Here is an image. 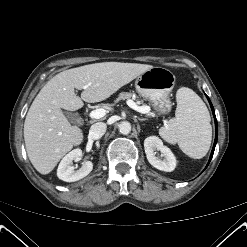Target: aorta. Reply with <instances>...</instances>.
Segmentation results:
<instances>
[{
  "instance_id": "aorta-1",
  "label": "aorta",
  "mask_w": 247,
  "mask_h": 247,
  "mask_svg": "<svg viewBox=\"0 0 247 247\" xmlns=\"http://www.w3.org/2000/svg\"><path fill=\"white\" fill-rule=\"evenodd\" d=\"M119 131L123 135H127L131 132V124L128 121H123L119 125Z\"/></svg>"
}]
</instances>
